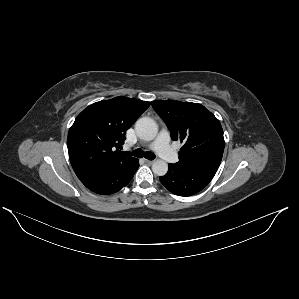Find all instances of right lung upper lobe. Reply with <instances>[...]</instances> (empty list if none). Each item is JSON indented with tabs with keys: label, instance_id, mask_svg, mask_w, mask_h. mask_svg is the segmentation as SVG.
Segmentation results:
<instances>
[{
	"label": "right lung upper lobe",
	"instance_id": "1",
	"mask_svg": "<svg viewBox=\"0 0 299 299\" xmlns=\"http://www.w3.org/2000/svg\"><path fill=\"white\" fill-rule=\"evenodd\" d=\"M150 103L127 97L99 101L85 108L68 134L71 165L78 178L136 160L121 152L126 131Z\"/></svg>",
	"mask_w": 299,
	"mask_h": 299
}]
</instances>
